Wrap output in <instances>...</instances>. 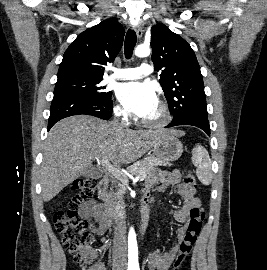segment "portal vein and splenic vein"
<instances>
[{"label": "portal vein and splenic vein", "instance_id": "obj_1", "mask_svg": "<svg viewBox=\"0 0 267 270\" xmlns=\"http://www.w3.org/2000/svg\"><path fill=\"white\" fill-rule=\"evenodd\" d=\"M97 162L101 163L103 167L106 168V170H108L112 175H114L115 177L119 178L120 180L124 181V182H128L127 177L124 175L123 172H121L119 169H117L114 165H112L109 160L107 158H104L102 160L97 159ZM145 178V175H138L136 177V180H143Z\"/></svg>", "mask_w": 267, "mask_h": 270}]
</instances>
